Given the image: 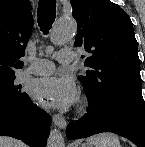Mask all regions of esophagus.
<instances>
[{"label": "esophagus", "mask_w": 145, "mask_h": 147, "mask_svg": "<svg viewBox=\"0 0 145 147\" xmlns=\"http://www.w3.org/2000/svg\"><path fill=\"white\" fill-rule=\"evenodd\" d=\"M52 121L55 126H57L58 128H60L62 130H64L67 127V121L65 120V118L62 115L54 114L52 116Z\"/></svg>", "instance_id": "obj_1"}]
</instances>
